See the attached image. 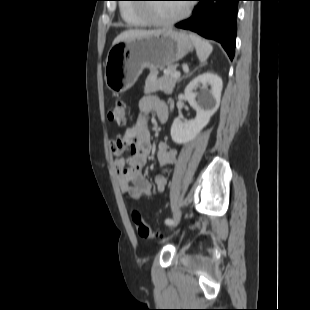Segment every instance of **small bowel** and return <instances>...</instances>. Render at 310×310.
Segmentation results:
<instances>
[{
  "instance_id": "1",
  "label": "small bowel",
  "mask_w": 310,
  "mask_h": 310,
  "mask_svg": "<svg viewBox=\"0 0 310 310\" xmlns=\"http://www.w3.org/2000/svg\"><path fill=\"white\" fill-rule=\"evenodd\" d=\"M139 115L126 131L110 141L114 156V165L121 192L129 199L138 201L143 196L152 197L150 181L142 172L151 151L150 131L147 126L148 116L154 113L159 122L167 120L166 104L153 95L143 96L138 103ZM129 156L125 157V151ZM178 153L169 144L161 141L157 148V160L160 168L176 163ZM158 193L164 192L167 178L158 174L155 178Z\"/></svg>"
}]
</instances>
